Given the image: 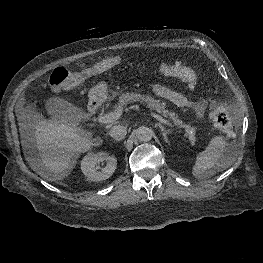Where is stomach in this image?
I'll return each instance as SVG.
<instances>
[{
	"mask_svg": "<svg viewBox=\"0 0 263 263\" xmlns=\"http://www.w3.org/2000/svg\"><path fill=\"white\" fill-rule=\"evenodd\" d=\"M108 93V85L105 82H100L89 91L90 100L102 101L106 98Z\"/></svg>",
	"mask_w": 263,
	"mask_h": 263,
	"instance_id": "1",
	"label": "stomach"
}]
</instances>
